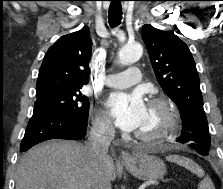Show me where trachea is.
Segmentation results:
<instances>
[{
  "label": "trachea",
  "mask_w": 223,
  "mask_h": 189,
  "mask_svg": "<svg viewBox=\"0 0 223 189\" xmlns=\"http://www.w3.org/2000/svg\"><path fill=\"white\" fill-rule=\"evenodd\" d=\"M108 20L111 27H115L121 23L122 6L120 0H112L108 11Z\"/></svg>",
  "instance_id": "1"
}]
</instances>
